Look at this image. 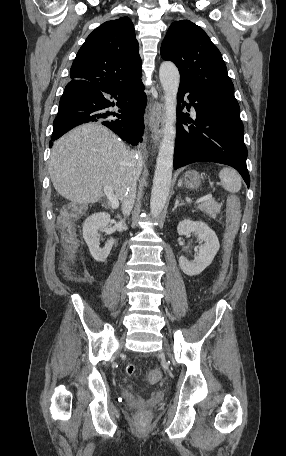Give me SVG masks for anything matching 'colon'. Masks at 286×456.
<instances>
[{
	"label": "colon",
	"mask_w": 286,
	"mask_h": 456,
	"mask_svg": "<svg viewBox=\"0 0 286 456\" xmlns=\"http://www.w3.org/2000/svg\"><path fill=\"white\" fill-rule=\"evenodd\" d=\"M228 214L229 220L226 228V244H225V256L222 266V272L218 278L212 294L219 292L225 285L227 277L230 271V255H231V245L237 228V221L239 215V201L236 197L230 196L228 198ZM75 248V242L73 241L72 234H67L66 236V249L68 254H71ZM136 366L134 364H128L126 366V373L129 376H134L136 374ZM162 378V372L159 369H152L147 375V381L150 384H155L159 382Z\"/></svg>",
	"instance_id": "colon-1"
}]
</instances>
